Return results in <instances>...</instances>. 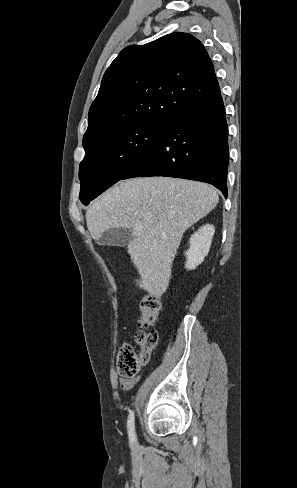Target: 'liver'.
I'll list each match as a JSON object with an SVG mask.
<instances>
[{"label":"liver","instance_id":"6515ba94","mask_svg":"<svg viewBox=\"0 0 297 488\" xmlns=\"http://www.w3.org/2000/svg\"><path fill=\"white\" fill-rule=\"evenodd\" d=\"M218 200L217 191L202 182L135 178L98 198L86 212V223L96 241L111 228L132 230L127 249L141 276L139 287L159 297L168 287L184 232L214 209Z\"/></svg>","mask_w":297,"mask_h":488}]
</instances>
